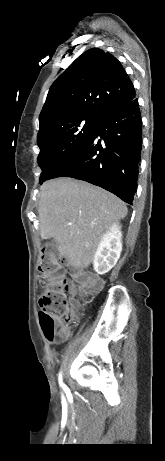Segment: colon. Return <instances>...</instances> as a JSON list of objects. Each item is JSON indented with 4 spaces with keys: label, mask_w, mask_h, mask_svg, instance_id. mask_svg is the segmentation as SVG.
I'll use <instances>...</instances> for the list:
<instances>
[{
    "label": "colon",
    "mask_w": 165,
    "mask_h": 461,
    "mask_svg": "<svg viewBox=\"0 0 165 461\" xmlns=\"http://www.w3.org/2000/svg\"><path fill=\"white\" fill-rule=\"evenodd\" d=\"M39 271L44 279V293L39 300V319L46 339L56 342L64 336L57 319L62 317L63 313H69L71 307L68 305L70 301L64 299V294L69 291V280L51 248H46L41 254ZM82 286L90 292L99 288V284L90 279L82 281Z\"/></svg>",
    "instance_id": "obj_1"
}]
</instances>
